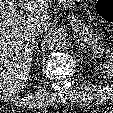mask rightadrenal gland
Instances as JSON below:
<instances>
[{
    "label": "right adrenal gland",
    "instance_id": "2a0ac1e0",
    "mask_svg": "<svg viewBox=\"0 0 113 113\" xmlns=\"http://www.w3.org/2000/svg\"><path fill=\"white\" fill-rule=\"evenodd\" d=\"M39 37L36 38V42H35V45H34V50L33 51H36L38 49V43H39Z\"/></svg>",
    "mask_w": 113,
    "mask_h": 113
}]
</instances>
